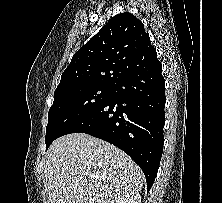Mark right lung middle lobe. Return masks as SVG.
<instances>
[{"mask_svg":"<svg viewBox=\"0 0 222 203\" xmlns=\"http://www.w3.org/2000/svg\"><path fill=\"white\" fill-rule=\"evenodd\" d=\"M111 93V87L83 85L54 92V102L48 112L46 149L72 123L94 111Z\"/></svg>","mask_w":222,"mask_h":203,"instance_id":"dd1d6c3e","label":"right lung middle lobe"}]
</instances>
